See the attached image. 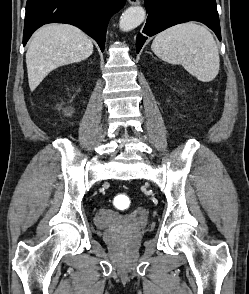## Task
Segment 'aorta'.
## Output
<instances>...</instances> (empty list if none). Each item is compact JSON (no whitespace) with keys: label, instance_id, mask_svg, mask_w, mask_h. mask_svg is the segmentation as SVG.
I'll list each match as a JSON object with an SVG mask.
<instances>
[{"label":"aorta","instance_id":"1","mask_svg":"<svg viewBox=\"0 0 249 294\" xmlns=\"http://www.w3.org/2000/svg\"><path fill=\"white\" fill-rule=\"evenodd\" d=\"M145 16L146 12L142 7H130L121 15L119 27L124 32L131 31L144 21Z\"/></svg>","mask_w":249,"mask_h":294}]
</instances>
